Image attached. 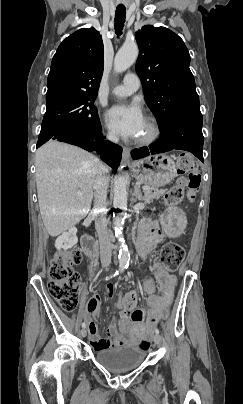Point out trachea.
Returning <instances> with one entry per match:
<instances>
[{
  "instance_id": "trachea-1",
  "label": "trachea",
  "mask_w": 243,
  "mask_h": 404,
  "mask_svg": "<svg viewBox=\"0 0 243 404\" xmlns=\"http://www.w3.org/2000/svg\"><path fill=\"white\" fill-rule=\"evenodd\" d=\"M125 19H126V8L124 6L116 7L114 27H115V33L118 37L122 35Z\"/></svg>"
}]
</instances>
